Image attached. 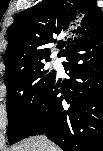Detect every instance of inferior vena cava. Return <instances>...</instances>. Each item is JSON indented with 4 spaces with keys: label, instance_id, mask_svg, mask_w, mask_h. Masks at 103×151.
I'll return each instance as SVG.
<instances>
[{
    "label": "inferior vena cava",
    "instance_id": "602c4592",
    "mask_svg": "<svg viewBox=\"0 0 103 151\" xmlns=\"http://www.w3.org/2000/svg\"><path fill=\"white\" fill-rule=\"evenodd\" d=\"M44 146L45 147H50L51 143L47 140V138H44ZM46 151H50V149H46Z\"/></svg>",
    "mask_w": 103,
    "mask_h": 151
}]
</instances>
